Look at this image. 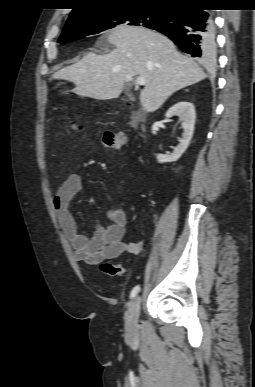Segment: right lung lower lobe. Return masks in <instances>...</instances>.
<instances>
[{
	"mask_svg": "<svg viewBox=\"0 0 255 387\" xmlns=\"http://www.w3.org/2000/svg\"><path fill=\"white\" fill-rule=\"evenodd\" d=\"M202 3L169 8L162 25L152 28L167 35L182 51L203 64L216 59L215 26Z\"/></svg>",
	"mask_w": 255,
	"mask_h": 387,
	"instance_id": "right-lung-lower-lobe-1",
	"label": "right lung lower lobe"
}]
</instances>
